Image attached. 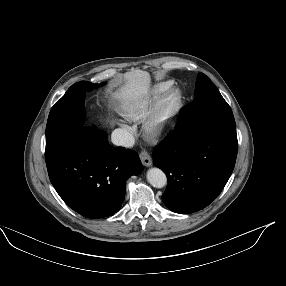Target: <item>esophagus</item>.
<instances>
[{"instance_id": "obj_1", "label": "esophagus", "mask_w": 286, "mask_h": 286, "mask_svg": "<svg viewBox=\"0 0 286 286\" xmlns=\"http://www.w3.org/2000/svg\"><path fill=\"white\" fill-rule=\"evenodd\" d=\"M139 157H140V160L144 166L149 167L152 165V158L148 152H146V151L141 152L139 154Z\"/></svg>"}]
</instances>
